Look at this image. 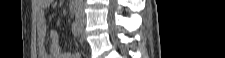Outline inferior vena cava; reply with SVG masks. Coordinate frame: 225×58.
Instances as JSON below:
<instances>
[{
  "instance_id": "602c4592",
  "label": "inferior vena cava",
  "mask_w": 225,
  "mask_h": 58,
  "mask_svg": "<svg viewBox=\"0 0 225 58\" xmlns=\"http://www.w3.org/2000/svg\"><path fill=\"white\" fill-rule=\"evenodd\" d=\"M77 15L79 17H81L82 20L85 19V14H84V11H83V1L82 0L78 1Z\"/></svg>"
}]
</instances>
